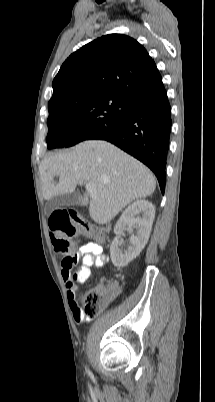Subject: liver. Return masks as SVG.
<instances>
[{
  "label": "liver",
  "instance_id": "1",
  "mask_svg": "<svg viewBox=\"0 0 215 402\" xmlns=\"http://www.w3.org/2000/svg\"><path fill=\"white\" fill-rule=\"evenodd\" d=\"M39 173L45 200L72 193L77 184H93L96 197L91 196L89 213L99 225L110 222L131 202L152 195L156 188L154 175L145 165L99 140L82 142L71 151L43 159ZM83 202H89L86 195Z\"/></svg>",
  "mask_w": 215,
  "mask_h": 402
}]
</instances>
